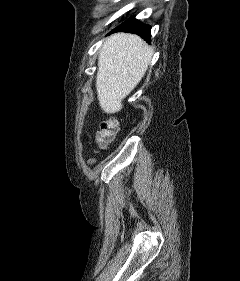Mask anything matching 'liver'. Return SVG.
I'll return each instance as SVG.
<instances>
[{
  "mask_svg": "<svg viewBox=\"0 0 240 281\" xmlns=\"http://www.w3.org/2000/svg\"><path fill=\"white\" fill-rule=\"evenodd\" d=\"M154 50L139 36L115 33L99 51L96 90L101 109L119 112L122 101L143 78Z\"/></svg>",
  "mask_w": 240,
  "mask_h": 281,
  "instance_id": "6515ba94",
  "label": "liver"
}]
</instances>
